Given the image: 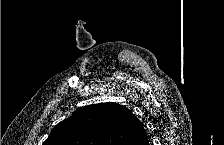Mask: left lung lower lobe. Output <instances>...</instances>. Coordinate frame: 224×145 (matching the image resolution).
<instances>
[{
    "label": "left lung lower lobe",
    "instance_id": "obj_1",
    "mask_svg": "<svg viewBox=\"0 0 224 145\" xmlns=\"http://www.w3.org/2000/svg\"><path fill=\"white\" fill-rule=\"evenodd\" d=\"M136 145H149V140H148V137H147V134H146L145 130L142 133V136L138 140V142L136 143Z\"/></svg>",
    "mask_w": 224,
    "mask_h": 145
}]
</instances>
